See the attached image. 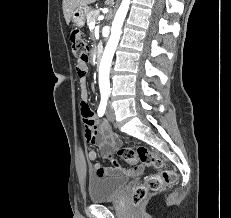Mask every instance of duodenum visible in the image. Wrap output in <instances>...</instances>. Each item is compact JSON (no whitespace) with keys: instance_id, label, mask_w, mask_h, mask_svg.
I'll return each mask as SVG.
<instances>
[{"instance_id":"duodenum-1","label":"duodenum","mask_w":231,"mask_h":218,"mask_svg":"<svg viewBox=\"0 0 231 218\" xmlns=\"http://www.w3.org/2000/svg\"><path fill=\"white\" fill-rule=\"evenodd\" d=\"M101 58H102V51L99 49L96 51L95 56H94V62L96 66L100 64Z\"/></svg>"}]
</instances>
